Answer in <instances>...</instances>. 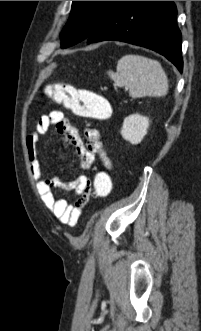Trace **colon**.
Wrapping results in <instances>:
<instances>
[{"label": "colon", "mask_w": 201, "mask_h": 331, "mask_svg": "<svg viewBox=\"0 0 201 331\" xmlns=\"http://www.w3.org/2000/svg\"><path fill=\"white\" fill-rule=\"evenodd\" d=\"M45 93L56 103L84 118L104 120L111 113L110 104L104 97L86 89H77L70 84H50L46 87ZM112 185V178L108 172L104 170L97 172L93 186L90 189L89 198L91 196L96 198L109 196Z\"/></svg>", "instance_id": "1"}]
</instances>
